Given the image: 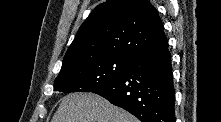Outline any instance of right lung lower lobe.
<instances>
[{
	"instance_id": "1",
	"label": "right lung lower lobe",
	"mask_w": 221,
	"mask_h": 122,
	"mask_svg": "<svg viewBox=\"0 0 221 122\" xmlns=\"http://www.w3.org/2000/svg\"><path fill=\"white\" fill-rule=\"evenodd\" d=\"M91 92L142 122H175V90L166 36L134 57L119 78Z\"/></svg>"
}]
</instances>
